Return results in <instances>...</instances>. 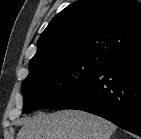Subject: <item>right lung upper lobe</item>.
Returning a JSON list of instances; mask_svg holds the SVG:
<instances>
[{
  "mask_svg": "<svg viewBox=\"0 0 141 139\" xmlns=\"http://www.w3.org/2000/svg\"><path fill=\"white\" fill-rule=\"evenodd\" d=\"M141 44L137 0H78L42 32L29 68L84 56L108 59Z\"/></svg>",
  "mask_w": 141,
  "mask_h": 139,
  "instance_id": "obj_1",
  "label": "right lung upper lobe"
}]
</instances>
